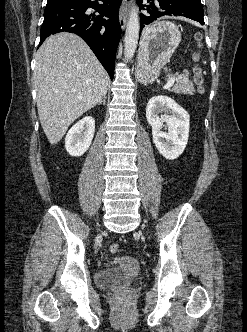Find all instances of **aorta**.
<instances>
[{
    "label": "aorta",
    "mask_w": 247,
    "mask_h": 332,
    "mask_svg": "<svg viewBox=\"0 0 247 332\" xmlns=\"http://www.w3.org/2000/svg\"><path fill=\"white\" fill-rule=\"evenodd\" d=\"M139 16L135 8L129 14L124 39V55L126 60H130L136 50L139 38Z\"/></svg>",
    "instance_id": "obj_1"
}]
</instances>
